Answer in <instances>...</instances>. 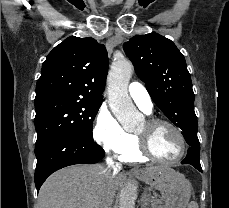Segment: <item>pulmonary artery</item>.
<instances>
[{"mask_svg": "<svg viewBox=\"0 0 229 208\" xmlns=\"http://www.w3.org/2000/svg\"><path fill=\"white\" fill-rule=\"evenodd\" d=\"M128 93L135 104L146 114L153 110V103L146 88L138 81H134L128 88Z\"/></svg>", "mask_w": 229, "mask_h": 208, "instance_id": "obj_1", "label": "pulmonary artery"}]
</instances>
